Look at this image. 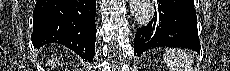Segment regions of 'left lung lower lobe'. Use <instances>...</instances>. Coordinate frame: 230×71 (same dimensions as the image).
I'll use <instances>...</instances> for the list:
<instances>
[{
    "mask_svg": "<svg viewBox=\"0 0 230 71\" xmlns=\"http://www.w3.org/2000/svg\"><path fill=\"white\" fill-rule=\"evenodd\" d=\"M194 0H156L149 24L137 29L134 55L155 47L191 48L200 52Z\"/></svg>",
    "mask_w": 230,
    "mask_h": 71,
    "instance_id": "0a47b994",
    "label": "left lung lower lobe"
}]
</instances>
